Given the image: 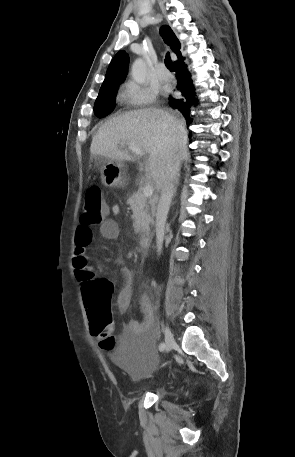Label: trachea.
<instances>
[{
	"instance_id": "3493384b",
	"label": "trachea",
	"mask_w": 295,
	"mask_h": 457,
	"mask_svg": "<svg viewBox=\"0 0 295 457\" xmlns=\"http://www.w3.org/2000/svg\"><path fill=\"white\" fill-rule=\"evenodd\" d=\"M165 65L169 70L175 69L169 53H167L165 56Z\"/></svg>"
}]
</instances>
